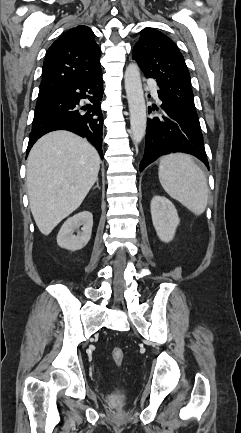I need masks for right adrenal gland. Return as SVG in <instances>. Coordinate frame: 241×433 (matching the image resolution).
<instances>
[{
  "label": "right adrenal gland",
  "mask_w": 241,
  "mask_h": 433,
  "mask_svg": "<svg viewBox=\"0 0 241 433\" xmlns=\"http://www.w3.org/2000/svg\"><path fill=\"white\" fill-rule=\"evenodd\" d=\"M95 188H98L99 190L101 189L100 186H99L98 178H97V180H96V186L93 187V189H95Z\"/></svg>",
  "instance_id": "obj_1"
}]
</instances>
